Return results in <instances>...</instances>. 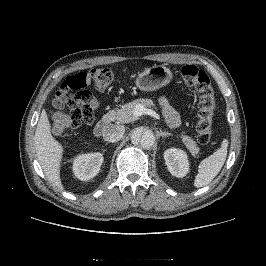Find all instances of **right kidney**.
Listing matches in <instances>:
<instances>
[{"mask_svg": "<svg viewBox=\"0 0 266 266\" xmlns=\"http://www.w3.org/2000/svg\"><path fill=\"white\" fill-rule=\"evenodd\" d=\"M102 163L101 153L81 154L73 161L74 175L82 181L90 180L98 174Z\"/></svg>", "mask_w": 266, "mask_h": 266, "instance_id": "1", "label": "right kidney"}]
</instances>
